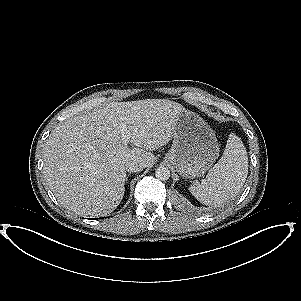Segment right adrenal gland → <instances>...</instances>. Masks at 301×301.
I'll return each mask as SVG.
<instances>
[{
    "mask_svg": "<svg viewBox=\"0 0 301 301\" xmlns=\"http://www.w3.org/2000/svg\"><path fill=\"white\" fill-rule=\"evenodd\" d=\"M130 176V174H128L127 176H126V178H125V181H126V183H127V181H128V177Z\"/></svg>",
    "mask_w": 301,
    "mask_h": 301,
    "instance_id": "obj_1",
    "label": "right adrenal gland"
}]
</instances>
